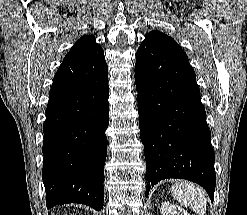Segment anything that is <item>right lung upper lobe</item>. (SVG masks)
I'll list each match as a JSON object with an SVG mask.
<instances>
[{
	"label": "right lung upper lobe",
	"mask_w": 247,
	"mask_h": 215,
	"mask_svg": "<svg viewBox=\"0 0 247 215\" xmlns=\"http://www.w3.org/2000/svg\"><path fill=\"white\" fill-rule=\"evenodd\" d=\"M99 50H102V48L96 43L95 37L92 35H86L82 36L77 42H75L65 58L86 56Z\"/></svg>",
	"instance_id": "1"
}]
</instances>
